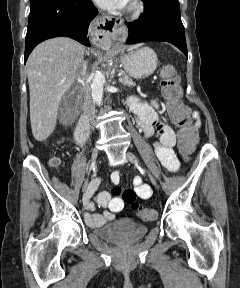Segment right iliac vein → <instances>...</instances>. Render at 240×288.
I'll list each match as a JSON object with an SVG mask.
<instances>
[{
    "mask_svg": "<svg viewBox=\"0 0 240 288\" xmlns=\"http://www.w3.org/2000/svg\"><path fill=\"white\" fill-rule=\"evenodd\" d=\"M97 156H98V149L95 148L92 151L91 160L89 162V167H88L89 172L93 169ZM88 185H89V179L87 178L82 187L83 192L87 190Z\"/></svg>",
    "mask_w": 240,
    "mask_h": 288,
    "instance_id": "right-iliac-vein-1",
    "label": "right iliac vein"
}]
</instances>
